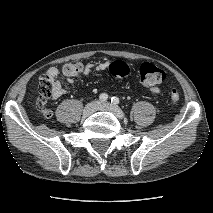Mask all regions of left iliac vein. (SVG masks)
Segmentation results:
<instances>
[{
    "mask_svg": "<svg viewBox=\"0 0 213 213\" xmlns=\"http://www.w3.org/2000/svg\"><path fill=\"white\" fill-rule=\"evenodd\" d=\"M99 110L102 111H108L113 113L115 116H117L118 118H124V112L122 111V109L120 107H118L117 105L111 104L109 102H104V103H100L99 105Z\"/></svg>",
    "mask_w": 213,
    "mask_h": 213,
    "instance_id": "1",
    "label": "left iliac vein"
}]
</instances>
